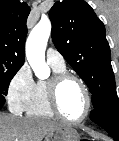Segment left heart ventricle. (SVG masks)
Returning <instances> with one entry per match:
<instances>
[{
    "label": "left heart ventricle",
    "instance_id": "obj_1",
    "mask_svg": "<svg viewBox=\"0 0 119 141\" xmlns=\"http://www.w3.org/2000/svg\"><path fill=\"white\" fill-rule=\"evenodd\" d=\"M58 102L62 113L68 118H79L85 111L86 99L81 86L67 80L59 89Z\"/></svg>",
    "mask_w": 119,
    "mask_h": 141
}]
</instances>
